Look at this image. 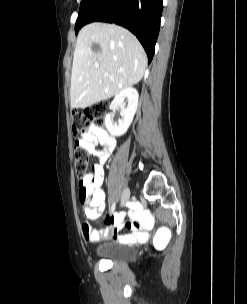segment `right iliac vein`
I'll list each match as a JSON object with an SVG mask.
<instances>
[{
    "label": "right iliac vein",
    "mask_w": 247,
    "mask_h": 304,
    "mask_svg": "<svg viewBox=\"0 0 247 304\" xmlns=\"http://www.w3.org/2000/svg\"><path fill=\"white\" fill-rule=\"evenodd\" d=\"M129 198H130V190L126 188L122 194L121 205L124 206L125 203L129 200Z\"/></svg>",
    "instance_id": "63e3f726"
}]
</instances>
